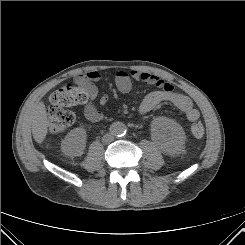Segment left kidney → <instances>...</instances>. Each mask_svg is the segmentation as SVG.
Instances as JSON below:
<instances>
[{"mask_svg": "<svg viewBox=\"0 0 245 245\" xmlns=\"http://www.w3.org/2000/svg\"><path fill=\"white\" fill-rule=\"evenodd\" d=\"M152 132L161 149L168 153L177 152L185 140L183 128L168 118H157L152 124Z\"/></svg>", "mask_w": 245, "mask_h": 245, "instance_id": "1", "label": "left kidney"}]
</instances>
